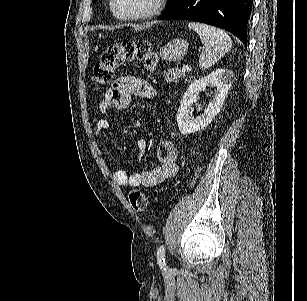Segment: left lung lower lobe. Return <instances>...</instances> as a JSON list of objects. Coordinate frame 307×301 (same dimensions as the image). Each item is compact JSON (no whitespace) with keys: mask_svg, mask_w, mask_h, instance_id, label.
<instances>
[{"mask_svg":"<svg viewBox=\"0 0 307 301\" xmlns=\"http://www.w3.org/2000/svg\"><path fill=\"white\" fill-rule=\"evenodd\" d=\"M253 0H180L160 20H192L231 32L247 46Z\"/></svg>","mask_w":307,"mask_h":301,"instance_id":"obj_1","label":"left lung lower lobe"}]
</instances>
